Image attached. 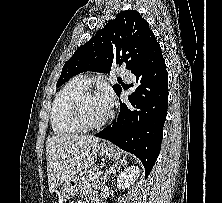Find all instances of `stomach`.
<instances>
[{
    "label": "stomach",
    "mask_w": 222,
    "mask_h": 203,
    "mask_svg": "<svg viewBox=\"0 0 222 203\" xmlns=\"http://www.w3.org/2000/svg\"><path fill=\"white\" fill-rule=\"evenodd\" d=\"M98 154L110 159H118L120 151L113 145L101 144L98 147ZM81 186V178L75 174L63 183L62 194L65 198L73 197Z\"/></svg>",
    "instance_id": "1"
}]
</instances>
